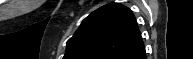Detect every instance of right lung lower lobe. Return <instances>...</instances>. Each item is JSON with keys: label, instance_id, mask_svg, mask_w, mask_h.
Here are the masks:
<instances>
[{"label": "right lung lower lobe", "instance_id": "1", "mask_svg": "<svg viewBox=\"0 0 193 59\" xmlns=\"http://www.w3.org/2000/svg\"><path fill=\"white\" fill-rule=\"evenodd\" d=\"M128 59H146L145 48L143 47L136 53L132 54L131 56L128 57Z\"/></svg>", "mask_w": 193, "mask_h": 59}]
</instances>
